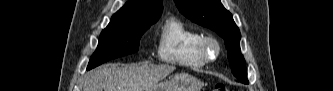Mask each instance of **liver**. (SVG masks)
Returning a JSON list of instances; mask_svg holds the SVG:
<instances>
[{
	"label": "liver",
	"mask_w": 333,
	"mask_h": 91,
	"mask_svg": "<svg viewBox=\"0 0 333 91\" xmlns=\"http://www.w3.org/2000/svg\"><path fill=\"white\" fill-rule=\"evenodd\" d=\"M174 70V66L147 63L105 65L86 75L84 91H150Z\"/></svg>",
	"instance_id": "1"
}]
</instances>
